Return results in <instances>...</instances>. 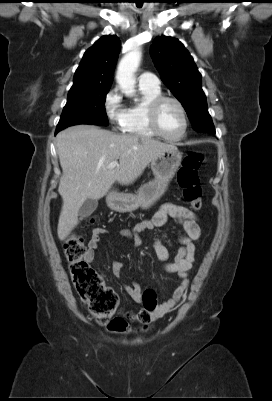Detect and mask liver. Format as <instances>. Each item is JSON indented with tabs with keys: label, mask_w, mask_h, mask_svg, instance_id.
<instances>
[{
	"label": "liver",
	"mask_w": 272,
	"mask_h": 401,
	"mask_svg": "<svg viewBox=\"0 0 272 401\" xmlns=\"http://www.w3.org/2000/svg\"><path fill=\"white\" fill-rule=\"evenodd\" d=\"M57 153L63 174L58 192L63 205L58 238L64 240L78 224L84 201L102 198L118 182L129 185L147 165L174 145L138 135H119L94 125H75L58 133ZM114 169L107 166L116 160Z\"/></svg>",
	"instance_id": "obj_1"
}]
</instances>
